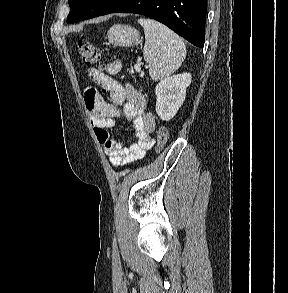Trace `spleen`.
Segmentation results:
<instances>
[{
	"label": "spleen",
	"instance_id": "obj_1",
	"mask_svg": "<svg viewBox=\"0 0 288 293\" xmlns=\"http://www.w3.org/2000/svg\"><path fill=\"white\" fill-rule=\"evenodd\" d=\"M138 23L144 28L143 55L149 64L150 77L162 80L181 66L186 46L176 33L153 19L140 18Z\"/></svg>",
	"mask_w": 288,
	"mask_h": 293
}]
</instances>
